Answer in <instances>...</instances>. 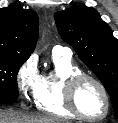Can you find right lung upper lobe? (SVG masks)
Segmentation results:
<instances>
[{"instance_id":"cb5924a9","label":"right lung upper lobe","mask_w":118,"mask_h":123,"mask_svg":"<svg viewBox=\"0 0 118 123\" xmlns=\"http://www.w3.org/2000/svg\"><path fill=\"white\" fill-rule=\"evenodd\" d=\"M36 12L12 4L0 8V55L28 59L38 39Z\"/></svg>"}]
</instances>
